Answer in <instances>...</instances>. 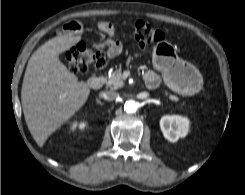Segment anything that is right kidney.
Masks as SVG:
<instances>
[{
	"instance_id": "ca27d5eb",
	"label": "right kidney",
	"mask_w": 245,
	"mask_h": 195,
	"mask_svg": "<svg viewBox=\"0 0 245 195\" xmlns=\"http://www.w3.org/2000/svg\"><path fill=\"white\" fill-rule=\"evenodd\" d=\"M86 122H84V121H81V122H77V121H75V122H73L72 124H71V129L72 130H75L76 128H79V129H84L85 127H86Z\"/></svg>"
}]
</instances>
